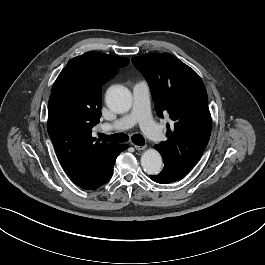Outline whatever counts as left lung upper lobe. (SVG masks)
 Returning <instances> with one entry per match:
<instances>
[{
    "mask_svg": "<svg viewBox=\"0 0 265 265\" xmlns=\"http://www.w3.org/2000/svg\"><path fill=\"white\" fill-rule=\"evenodd\" d=\"M145 76L158 114L168 113V139L157 146L164 168L183 178L197 163L211 134L206 88L189 66L171 54H150L132 59Z\"/></svg>",
    "mask_w": 265,
    "mask_h": 265,
    "instance_id": "obj_1",
    "label": "left lung upper lobe"
}]
</instances>
